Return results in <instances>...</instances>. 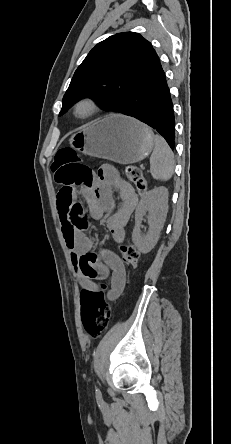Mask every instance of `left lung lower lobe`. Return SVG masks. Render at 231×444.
I'll return each mask as SVG.
<instances>
[{
    "instance_id": "obj_1",
    "label": "left lung lower lobe",
    "mask_w": 231,
    "mask_h": 444,
    "mask_svg": "<svg viewBox=\"0 0 231 444\" xmlns=\"http://www.w3.org/2000/svg\"><path fill=\"white\" fill-rule=\"evenodd\" d=\"M156 129L171 149L175 147L173 103L165 73L157 57L140 76L139 83L119 111Z\"/></svg>"
}]
</instances>
